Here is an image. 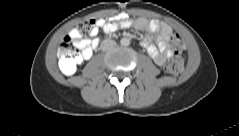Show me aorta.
Segmentation results:
<instances>
[{
  "instance_id": "1",
  "label": "aorta",
  "mask_w": 239,
  "mask_h": 136,
  "mask_svg": "<svg viewBox=\"0 0 239 136\" xmlns=\"http://www.w3.org/2000/svg\"><path fill=\"white\" fill-rule=\"evenodd\" d=\"M120 43L122 46H128L130 44V40L128 38H122Z\"/></svg>"
}]
</instances>
